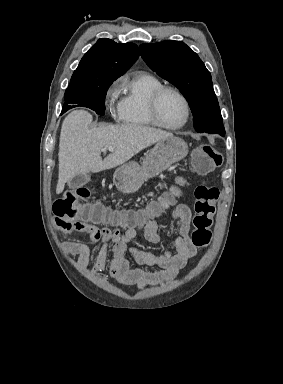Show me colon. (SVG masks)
Returning <instances> with one entry per match:
<instances>
[{"label": "colon", "instance_id": "colon-1", "mask_svg": "<svg viewBox=\"0 0 283 384\" xmlns=\"http://www.w3.org/2000/svg\"><path fill=\"white\" fill-rule=\"evenodd\" d=\"M221 163V156L209 144H202L193 151V166L198 174H207ZM217 186L199 185L194 192L195 216L193 218L194 230L191 235L193 244L202 248L211 240V226L216 213V204L219 198ZM90 195L86 188L66 191L62 198L55 201L53 211L56 218L65 225L90 221L96 224L120 225L123 227H136L146 222L153 212L143 211H112L100 205L82 204Z\"/></svg>", "mask_w": 283, "mask_h": 384}]
</instances>
